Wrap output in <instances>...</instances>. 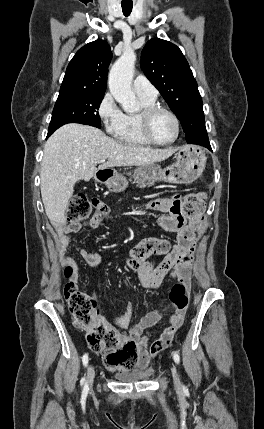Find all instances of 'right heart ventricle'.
Returning a JSON list of instances; mask_svg holds the SVG:
<instances>
[{
  "label": "right heart ventricle",
  "instance_id": "obj_1",
  "mask_svg": "<svg viewBox=\"0 0 264 429\" xmlns=\"http://www.w3.org/2000/svg\"><path fill=\"white\" fill-rule=\"evenodd\" d=\"M142 108L156 104V99L138 96ZM116 138L126 144L149 145L150 143L141 133L138 114H124V119L120 130L116 133Z\"/></svg>",
  "mask_w": 264,
  "mask_h": 429
}]
</instances>
